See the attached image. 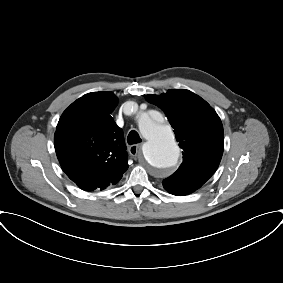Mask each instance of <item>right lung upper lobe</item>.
<instances>
[{
	"mask_svg": "<svg viewBox=\"0 0 283 283\" xmlns=\"http://www.w3.org/2000/svg\"><path fill=\"white\" fill-rule=\"evenodd\" d=\"M118 99L112 92L88 93L61 115L54 136L63 170L86 191L114 185L128 169L123 131L110 113Z\"/></svg>",
	"mask_w": 283,
	"mask_h": 283,
	"instance_id": "1",
	"label": "right lung upper lobe"
}]
</instances>
